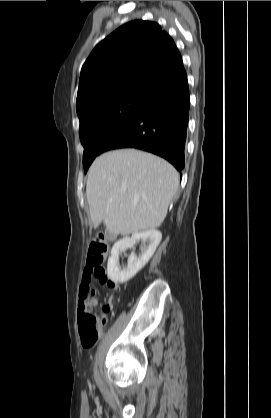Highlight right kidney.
Segmentation results:
<instances>
[{"label": "right kidney", "mask_w": 271, "mask_h": 418, "mask_svg": "<svg viewBox=\"0 0 271 418\" xmlns=\"http://www.w3.org/2000/svg\"><path fill=\"white\" fill-rule=\"evenodd\" d=\"M162 239V234L158 230H148L138 233H133L131 237H125L117 241L111 250V255L107 263L108 277L115 283H125L133 278L150 260L153 256L157 246ZM143 241L147 245L142 249L141 255L138 257L131 253L128 258V265L126 268L118 266V259L121 252L127 248H132L134 245Z\"/></svg>", "instance_id": "1"}]
</instances>
